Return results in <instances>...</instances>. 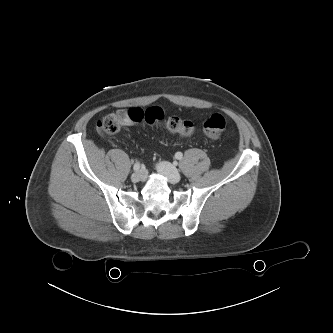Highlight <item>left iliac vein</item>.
Wrapping results in <instances>:
<instances>
[{"instance_id": "4c4485c4", "label": "left iliac vein", "mask_w": 333, "mask_h": 333, "mask_svg": "<svg viewBox=\"0 0 333 333\" xmlns=\"http://www.w3.org/2000/svg\"><path fill=\"white\" fill-rule=\"evenodd\" d=\"M156 169L159 173L168 178L171 183H178L181 180L179 171L168 162H160L157 164Z\"/></svg>"}]
</instances>
